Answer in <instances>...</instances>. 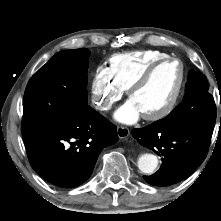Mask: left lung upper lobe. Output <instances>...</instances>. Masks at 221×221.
Segmentation results:
<instances>
[{
  "label": "left lung upper lobe",
  "instance_id": "left-lung-upper-lobe-1",
  "mask_svg": "<svg viewBox=\"0 0 221 221\" xmlns=\"http://www.w3.org/2000/svg\"><path fill=\"white\" fill-rule=\"evenodd\" d=\"M205 75L191 71L186 83L184 99L167 117L156 121L163 128L197 125L214 128L216 106L213 96L208 93Z\"/></svg>",
  "mask_w": 221,
  "mask_h": 221
}]
</instances>
